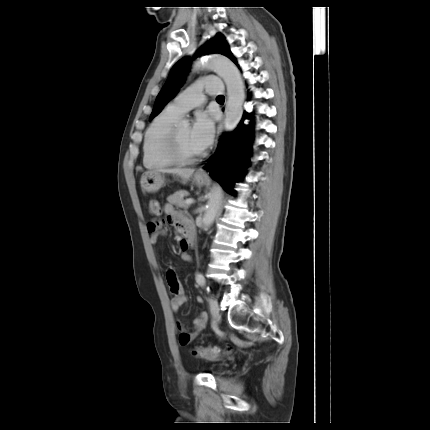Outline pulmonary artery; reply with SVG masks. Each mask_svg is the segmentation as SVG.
<instances>
[{
  "instance_id": "pulmonary-artery-1",
  "label": "pulmonary artery",
  "mask_w": 430,
  "mask_h": 430,
  "mask_svg": "<svg viewBox=\"0 0 430 430\" xmlns=\"http://www.w3.org/2000/svg\"><path fill=\"white\" fill-rule=\"evenodd\" d=\"M221 93V83L214 78H201L184 91H182L167 107V109L177 115L201 106L205 100V94L218 95Z\"/></svg>"
}]
</instances>
